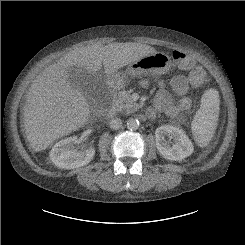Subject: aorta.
I'll return each instance as SVG.
<instances>
[{
  "label": "aorta",
  "instance_id": "762f6f07",
  "mask_svg": "<svg viewBox=\"0 0 245 245\" xmlns=\"http://www.w3.org/2000/svg\"><path fill=\"white\" fill-rule=\"evenodd\" d=\"M126 125L129 130H136L139 127V121L135 118H130L127 120Z\"/></svg>",
  "mask_w": 245,
  "mask_h": 245
}]
</instances>
